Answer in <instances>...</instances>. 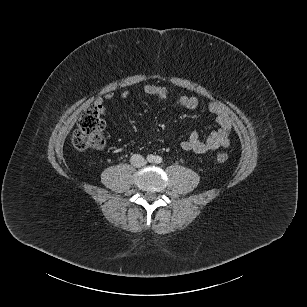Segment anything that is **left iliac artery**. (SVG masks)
Segmentation results:
<instances>
[{"mask_svg": "<svg viewBox=\"0 0 307 307\" xmlns=\"http://www.w3.org/2000/svg\"><path fill=\"white\" fill-rule=\"evenodd\" d=\"M162 162V157L156 156L155 157V163L160 164Z\"/></svg>", "mask_w": 307, "mask_h": 307, "instance_id": "left-iliac-artery-1", "label": "left iliac artery"}]
</instances>
